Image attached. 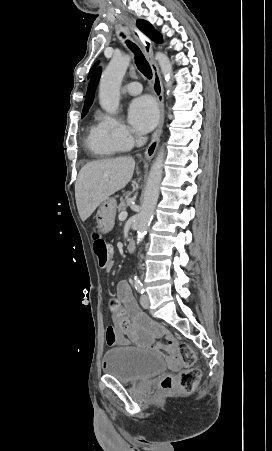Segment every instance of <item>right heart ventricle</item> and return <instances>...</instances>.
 I'll return each mask as SVG.
<instances>
[{"mask_svg": "<svg viewBox=\"0 0 272 451\" xmlns=\"http://www.w3.org/2000/svg\"><path fill=\"white\" fill-rule=\"evenodd\" d=\"M88 146L100 156L112 155L117 151L118 145L102 129L101 125H95L88 137Z\"/></svg>", "mask_w": 272, "mask_h": 451, "instance_id": "1", "label": "right heart ventricle"}]
</instances>
